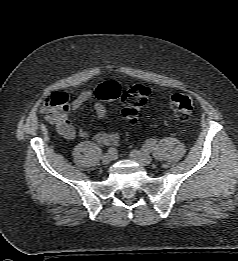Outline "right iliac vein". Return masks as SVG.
Instances as JSON below:
<instances>
[{"instance_id": "obj_1", "label": "right iliac vein", "mask_w": 238, "mask_h": 261, "mask_svg": "<svg viewBox=\"0 0 238 261\" xmlns=\"http://www.w3.org/2000/svg\"><path fill=\"white\" fill-rule=\"evenodd\" d=\"M115 158V154L114 155H109V153H105L103 156H102V162L103 164L107 165L109 163H111Z\"/></svg>"}]
</instances>
